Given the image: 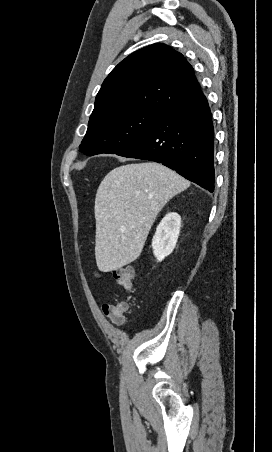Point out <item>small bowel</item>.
<instances>
[{
  "instance_id": "1",
  "label": "small bowel",
  "mask_w": 272,
  "mask_h": 452,
  "mask_svg": "<svg viewBox=\"0 0 272 452\" xmlns=\"http://www.w3.org/2000/svg\"><path fill=\"white\" fill-rule=\"evenodd\" d=\"M107 304H108V303H105V304L102 306L103 313H104L106 316L110 317V319L112 320V322H113L114 324H116V325H118V326L122 325V324L125 322L126 316H125V315H117V314H115V313L108 312V310L106 309V305H107Z\"/></svg>"
}]
</instances>
